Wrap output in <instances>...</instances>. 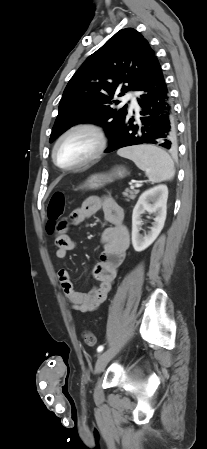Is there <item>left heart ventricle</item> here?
<instances>
[{
    "instance_id": "obj_1",
    "label": "left heart ventricle",
    "mask_w": 207,
    "mask_h": 449,
    "mask_svg": "<svg viewBox=\"0 0 207 449\" xmlns=\"http://www.w3.org/2000/svg\"><path fill=\"white\" fill-rule=\"evenodd\" d=\"M96 142L92 134L79 131L65 138L56 151V158L60 165L67 166L89 156Z\"/></svg>"
}]
</instances>
